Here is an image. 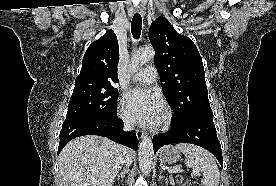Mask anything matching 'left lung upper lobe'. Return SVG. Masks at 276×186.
<instances>
[{"label": "left lung upper lobe", "mask_w": 276, "mask_h": 186, "mask_svg": "<svg viewBox=\"0 0 276 186\" xmlns=\"http://www.w3.org/2000/svg\"><path fill=\"white\" fill-rule=\"evenodd\" d=\"M162 91L174 111L173 122L212 113L202 58L193 41L176 32L164 17L149 30Z\"/></svg>", "instance_id": "obj_1"}]
</instances>
